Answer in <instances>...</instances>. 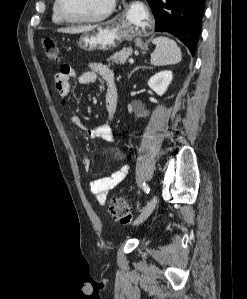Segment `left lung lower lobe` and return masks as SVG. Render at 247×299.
Returning a JSON list of instances; mask_svg holds the SVG:
<instances>
[{"mask_svg":"<svg viewBox=\"0 0 247 299\" xmlns=\"http://www.w3.org/2000/svg\"><path fill=\"white\" fill-rule=\"evenodd\" d=\"M156 20V32L179 38L195 55L205 0H148Z\"/></svg>","mask_w":247,"mask_h":299,"instance_id":"0a47b994","label":"left lung lower lobe"}]
</instances>
